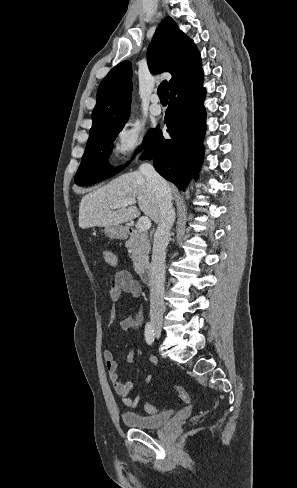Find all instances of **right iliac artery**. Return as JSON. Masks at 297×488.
I'll list each match as a JSON object with an SVG mask.
<instances>
[{
    "label": "right iliac artery",
    "mask_w": 297,
    "mask_h": 488,
    "mask_svg": "<svg viewBox=\"0 0 297 488\" xmlns=\"http://www.w3.org/2000/svg\"><path fill=\"white\" fill-rule=\"evenodd\" d=\"M154 335V329L152 328L151 323L148 322L145 326V340L149 345L153 343Z\"/></svg>",
    "instance_id": "obj_1"
}]
</instances>
